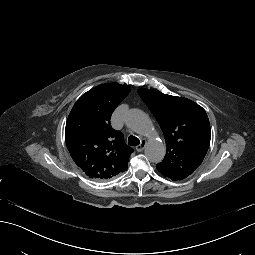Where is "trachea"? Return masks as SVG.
<instances>
[{
    "instance_id": "1",
    "label": "trachea",
    "mask_w": 255,
    "mask_h": 255,
    "mask_svg": "<svg viewBox=\"0 0 255 255\" xmlns=\"http://www.w3.org/2000/svg\"><path fill=\"white\" fill-rule=\"evenodd\" d=\"M128 144L130 146H137V145L140 144V141L137 137L131 135V136L128 137Z\"/></svg>"
}]
</instances>
